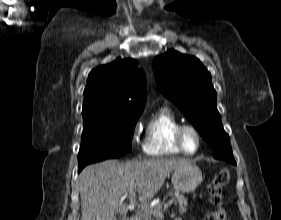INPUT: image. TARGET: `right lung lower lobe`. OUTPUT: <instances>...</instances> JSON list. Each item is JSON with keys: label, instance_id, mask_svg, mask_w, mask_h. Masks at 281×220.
I'll list each match as a JSON object with an SVG mask.
<instances>
[{"label": "right lung lower lobe", "instance_id": "right-lung-lower-lobe-1", "mask_svg": "<svg viewBox=\"0 0 281 220\" xmlns=\"http://www.w3.org/2000/svg\"><path fill=\"white\" fill-rule=\"evenodd\" d=\"M82 169H83V168H80V167H79V168H78V172H80Z\"/></svg>", "mask_w": 281, "mask_h": 220}]
</instances>
